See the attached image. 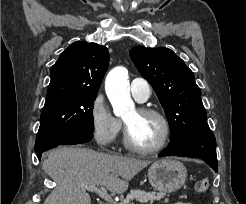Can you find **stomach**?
Masks as SVG:
<instances>
[{
    "instance_id": "1",
    "label": "stomach",
    "mask_w": 246,
    "mask_h": 204,
    "mask_svg": "<svg viewBox=\"0 0 246 204\" xmlns=\"http://www.w3.org/2000/svg\"><path fill=\"white\" fill-rule=\"evenodd\" d=\"M148 179L155 190L171 193L184 185L187 170L183 163L175 159H160L149 167Z\"/></svg>"
}]
</instances>
